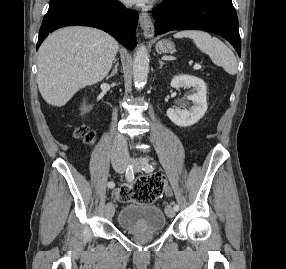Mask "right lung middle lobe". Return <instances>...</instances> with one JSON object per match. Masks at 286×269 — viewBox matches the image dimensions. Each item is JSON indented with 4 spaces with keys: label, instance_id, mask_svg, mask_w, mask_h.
I'll list each match as a JSON object with an SVG mask.
<instances>
[{
    "label": "right lung middle lobe",
    "instance_id": "dd1d6c3e",
    "mask_svg": "<svg viewBox=\"0 0 286 269\" xmlns=\"http://www.w3.org/2000/svg\"><path fill=\"white\" fill-rule=\"evenodd\" d=\"M69 0H50V4L49 7L55 6V5H59L61 3L67 2ZM106 6H111L113 5V3L115 2V0H96Z\"/></svg>",
    "mask_w": 286,
    "mask_h": 269
}]
</instances>
